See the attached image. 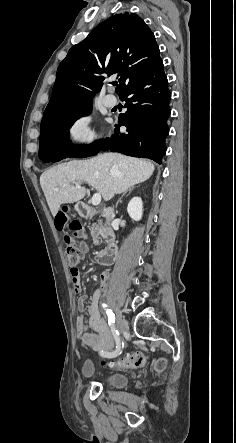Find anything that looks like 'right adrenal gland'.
I'll return each mask as SVG.
<instances>
[{"label":"right adrenal gland","mask_w":236,"mask_h":443,"mask_svg":"<svg viewBox=\"0 0 236 443\" xmlns=\"http://www.w3.org/2000/svg\"><path fill=\"white\" fill-rule=\"evenodd\" d=\"M133 190H134V187L130 188L128 194H130ZM125 194H126V192H125V193L120 197V199L117 201V203H116V207L118 206L119 202H121V199H122V197H123Z\"/></svg>","instance_id":"obj_1"}]
</instances>
